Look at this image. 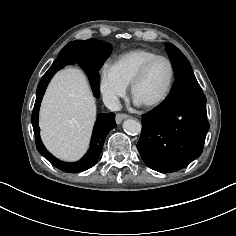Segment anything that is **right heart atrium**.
<instances>
[{"label": "right heart atrium", "instance_id": "obj_1", "mask_svg": "<svg viewBox=\"0 0 236 236\" xmlns=\"http://www.w3.org/2000/svg\"><path fill=\"white\" fill-rule=\"evenodd\" d=\"M127 86L119 79L112 65H104L99 72V90L104 101L115 104L127 93Z\"/></svg>", "mask_w": 236, "mask_h": 236}]
</instances>
